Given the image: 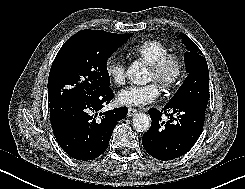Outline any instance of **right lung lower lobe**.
Here are the masks:
<instances>
[{
	"label": "right lung lower lobe",
	"instance_id": "right-lung-lower-lobe-1",
	"mask_svg": "<svg viewBox=\"0 0 245 189\" xmlns=\"http://www.w3.org/2000/svg\"><path fill=\"white\" fill-rule=\"evenodd\" d=\"M113 96L110 87H99L91 95L50 102L53 133L69 156L86 161L106 151L114 127L128 113L126 107L100 112Z\"/></svg>",
	"mask_w": 245,
	"mask_h": 189
}]
</instances>
